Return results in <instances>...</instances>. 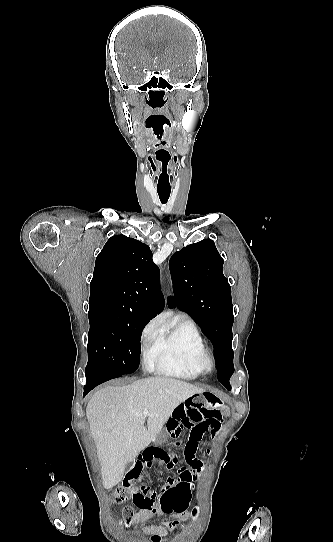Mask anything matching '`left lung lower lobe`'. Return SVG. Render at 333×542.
<instances>
[{
    "instance_id": "1",
    "label": "left lung lower lobe",
    "mask_w": 333,
    "mask_h": 542,
    "mask_svg": "<svg viewBox=\"0 0 333 542\" xmlns=\"http://www.w3.org/2000/svg\"><path fill=\"white\" fill-rule=\"evenodd\" d=\"M219 381H220V380H219ZM221 383H222L224 386H226L227 389H229V390L231 389V386H230L229 382H222V381H221Z\"/></svg>"
}]
</instances>
